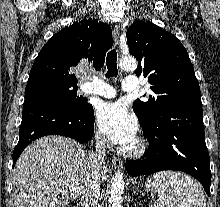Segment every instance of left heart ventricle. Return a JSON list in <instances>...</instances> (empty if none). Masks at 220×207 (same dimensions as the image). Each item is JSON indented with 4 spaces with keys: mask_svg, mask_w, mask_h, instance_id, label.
<instances>
[{
    "mask_svg": "<svg viewBox=\"0 0 220 207\" xmlns=\"http://www.w3.org/2000/svg\"><path fill=\"white\" fill-rule=\"evenodd\" d=\"M134 144V142H132L130 145H128L127 147H131Z\"/></svg>",
    "mask_w": 220,
    "mask_h": 207,
    "instance_id": "obj_1",
    "label": "left heart ventricle"
}]
</instances>
